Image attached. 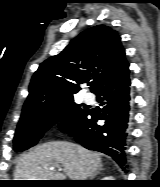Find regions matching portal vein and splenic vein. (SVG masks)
<instances>
[{"label":"portal vein and splenic vein","instance_id":"1","mask_svg":"<svg viewBox=\"0 0 160 187\" xmlns=\"http://www.w3.org/2000/svg\"><path fill=\"white\" fill-rule=\"evenodd\" d=\"M59 170H61V169H59ZM60 177H62V179H64L65 176L61 174Z\"/></svg>","mask_w":160,"mask_h":187}]
</instances>
